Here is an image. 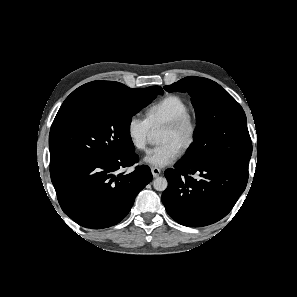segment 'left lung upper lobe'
I'll return each instance as SVG.
<instances>
[{
  "instance_id": "5c2ea615",
  "label": "left lung upper lobe",
  "mask_w": 297,
  "mask_h": 297,
  "mask_svg": "<svg viewBox=\"0 0 297 297\" xmlns=\"http://www.w3.org/2000/svg\"><path fill=\"white\" fill-rule=\"evenodd\" d=\"M164 89L188 92L197 118L194 142L178 162L218 163L248 173L252 144L240 104L219 84L207 78L186 77Z\"/></svg>"
}]
</instances>
